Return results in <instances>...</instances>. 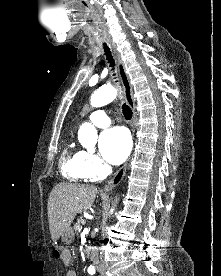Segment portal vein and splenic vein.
<instances>
[{
    "instance_id": "18ae733b",
    "label": "portal vein and splenic vein",
    "mask_w": 221,
    "mask_h": 276,
    "mask_svg": "<svg viewBox=\"0 0 221 276\" xmlns=\"http://www.w3.org/2000/svg\"><path fill=\"white\" fill-rule=\"evenodd\" d=\"M82 223H85V220H84V219L82 220Z\"/></svg>"
}]
</instances>
